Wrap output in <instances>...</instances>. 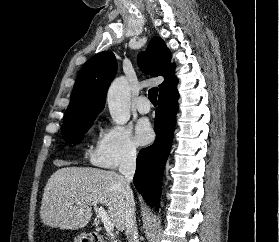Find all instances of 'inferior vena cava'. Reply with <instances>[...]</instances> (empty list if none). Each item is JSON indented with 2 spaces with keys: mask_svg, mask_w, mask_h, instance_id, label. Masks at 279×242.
Returning <instances> with one entry per match:
<instances>
[{
  "mask_svg": "<svg viewBox=\"0 0 279 242\" xmlns=\"http://www.w3.org/2000/svg\"><path fill=\"white\" fill-rule=\"evenodd\" d=\"M136 169V149H129L120 166L119 172L124 176L125 183V193L129 199V205L126 210V219H125V234L128 239V242H139L138 240V230L136 224V216H135V202L133 197V192L130 188V183L133 180V176Z\"/></svg>",
  "mask_w": 279,
  "mask_h": 242,
  "instance_id": "602c4592",
  "label": "inferior vena cava"
}]
</instances>
